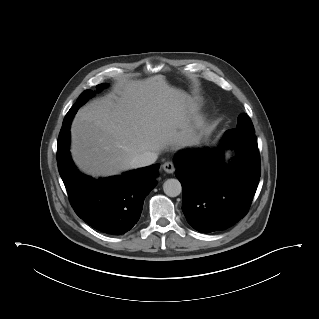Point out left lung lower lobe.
I'll return each instance as SVG.
<instances>
[{
    "mask_svg": "<svg viewBox=\"0 0 319 319\" xmlns=\"http://www.w3.org/2000/svg\"><path fill=\"white\" fill-rule=\"evenodd\" d=\"M236 157L227 165L223 149ZM182 184V210L188 223L203 233L233 226L247 213L260 179V156L254 132L228 130L222 149H186L175 158Z\"/></svg>",
    "mask_w": 319,
    "mask_h": 319,
    "instance_id": "0a47b994",
    "label": "left lung lower lobe"
}]
</instances>
